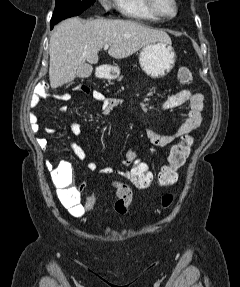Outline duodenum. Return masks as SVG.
Instances as JSON below:
<instances>
[{
  "label": "duodenum",
  "instance_id": "410a0bca",
  "mask_svg": "<svg viewBox=\"0 0 240 287\" xmlns=\"http://www.w3.org/2000/svg\"><path fill=\"white\" fill-rule=\"evenodd\" d=\"M111 74L110 68L108 65L106 64H100L97 67V77L99 79H104V78H108Z\"/></svg>",
  "mask_w": 240,
  "mask_h": 287
}]
</instances>
